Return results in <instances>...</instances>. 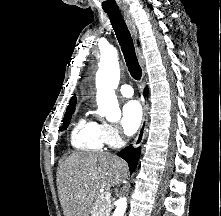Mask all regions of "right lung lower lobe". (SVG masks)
Here are the masks:
<instances>
[{
	"label": "right lung lower lobe",
	"instance_id": "right-lung-lower-lobe-1",
	"mask_svg": "<svg viewBox=\"0 0 221 216\" xmlns=\"http://www.w3.org/2000/svg\"><path fill=\"white\" fill-rule=\"evenodd\" d=\"M146 93V91H145ZM118 156L123 158L129 165L130 173H133L139 160L140 148L128 146L118 153Z\"/></svg>",
	"mask_w": 221,
	"mask_h": 216
}]
</instances>
